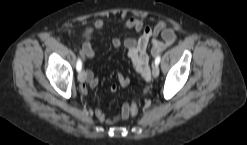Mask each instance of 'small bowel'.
Wrapping results in <instances>:
<instances>
[{
	"label": "small bowel",
	"instance_id": "c3829d8e",
	"mask_svg": "<svg viewBox=\"0 0 247 145\" xmlns=\"http://www.w3.org/2000/svg\"><path fill=\"white\" fill-rule=\"evenodd\" d=\"M93 27L97 31H102L106 28V22L98 18L94 21ZM124 30H133L141 33L139 38L121 39L115 37L112 40L114 48L124 47L127 50L128 57L132 63L135 71L145 80L151 79V71L149 66V56L147 53L148 47L151 45V53L156 56L164 49L170 46L176 40V32L173 25H169L166 20H160L153 28L145 27L143 22L138 18H129L123 23ZM81 56L85 61L92 60L95 56L94 49L90 41H86L81 49ZM86 79L81 84L80 90L82 93H87V87H96L98 85V78L90 70L85 72ZM118 81L122 87L129 84V78L121 73H118ZM110 91L115 93L117 91L116 85H111ZM147 90H145L146 92ZM128 105L125 104L122 112L118 116L110 117L101 109L95 110V115L99 121L112 124L121 118H126L125 110Z\"/></svg>",
	"mask_w": 247,
	"mask_h": 145
}]
</instances>
